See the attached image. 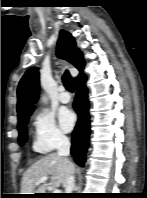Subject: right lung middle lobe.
Returning a JSON list of instances; mask_svg holds the SVG:
<instances>
[{
  "label": "right lung middle lobe",
  "mask_w": 147,
  "mask_h": 198,
  "mask_svg": "<svg viewBox=\"0 0 147 198\" xmlns=\"http://www.w3.org/2000/svg\"><path fill=\"white\" fill-rule=\"evenodd\" d=\"M29 116L23 119L22 121L18 122V131H19V137L18 142L19 145H23L27 141V130L26 125L28 123Z\"/></svg>",
  "instance_id": "1"
}]
</instances>
